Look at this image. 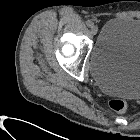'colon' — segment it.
<instances>
[{"label":"colon","mask_w":140,"mask_h":140,"mask_svg":"<svg viewBox=\"0 0 140 140\" xmlns=\"http://www.w3.org/2000/svg\"><path fill=\"white\" fill-rule=\"evenodd\" d=\"M109 107L118 113H123L127 110V102L120 98H113L109 101Z\"/></svg>","instance_id":"1"}]
</instances>
